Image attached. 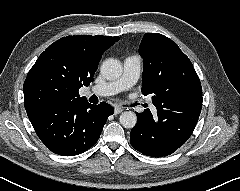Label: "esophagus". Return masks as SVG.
I'll return each mask as SVG.
<instances>
[{
  "instance_id": "34e87169",
  "label": "esophagus",
  "mask_w": 240,
  "mask_h": 191,
  "mask_svg": "<svg viewBox=\"0 0 240 191\" xmlns=\"http://www.w3.org/2000/svg\"><path fill=\"white\" fill-rule=\"evenodd\" d=\"M122 111H123V108H121L120 106H115L114 107V114L115 115L121 113Z\"/></svg>"
}]
</instances>
